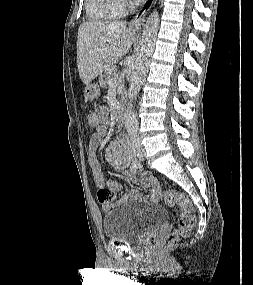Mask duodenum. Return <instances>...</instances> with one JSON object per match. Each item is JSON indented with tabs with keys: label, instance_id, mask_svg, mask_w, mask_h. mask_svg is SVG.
I'll return each instance as SVG.
<instances>
[{
	"label": "duodenum",
	"instance_id": "obj_1",
	"mask_svg": "<svg viewBox=\"0 0 253 285\" xmlns=\"http://www.w3.org/2000/svg\"><path fill=\"white\" fill-rule=\"evenodd\" d=\"M125 118V105L124 103H120L117 107V112L114 119V128L121 129L124 124Z\"/></svg>",
	"mask_w": 253,
	"mask_h": 285
}]
</instances>
